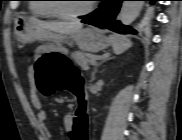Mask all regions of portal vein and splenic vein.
<instances>
[{
	"mask_svg": "<svg viewBox=\"0 0 182 140\" xmlns=\"http://www.w3.org/2000/svg\"><path fill=\"white\" fill-rule=\"evenodd\" d=\"M90 64H91V65H96V64H97V61H96L95 59H91V60H90Z\"/></svg>",
	"mask_w": 182,
	"mask_h": 140,
	"instance_id": "1",
	"label": "portal vein and splenic vein"
}]
</instances>
